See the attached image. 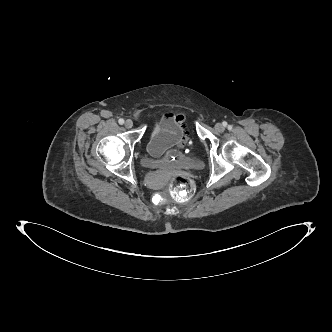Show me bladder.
I'll list each match as a JSON object with an SVG mask.
<instances>
[{
	"label": "bladder",
	"instance_id": "1",
	"mask_svg": "<svg viewBox=\"0 0 332 332\" xmlns=\"http://www.w3.org/2000/svg\"><path fill=\"white\" fill-rule=\"evenodd\" d=\"M169 131H180V126L171 121ZM174 143H168L159 152L154 151L151 141L146 146V154L140 159L142 166L146 168H199L201 161L196 157H189L178 149L173 148Z\"/></svg>",
	"mask_w": 332,
	"mask_h": 332
}]
</instances>
